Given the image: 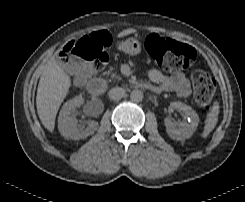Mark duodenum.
Here are the masks:
<instances>
[{
  "label": "duodenum",
  "instance_id": "obj_1",
  "mask_svg": "<svg viewBox=\"0 0 245 202\" xmlns=\"http://www.w3.org/2000/svg\"><path fill=\"white\" fill-rule=\"evenodd\" d=\"M139 87L149 90L154 93H158V89L152 86L149 82H141L138 84ZM87 90L90 95L96 97L101 95L105 91V82L101 78H92L87 83Z\"/></svg>",
  "mask_w": 245,
  "mask_h": 202
}]
</instances>
